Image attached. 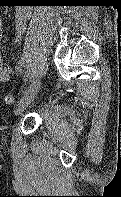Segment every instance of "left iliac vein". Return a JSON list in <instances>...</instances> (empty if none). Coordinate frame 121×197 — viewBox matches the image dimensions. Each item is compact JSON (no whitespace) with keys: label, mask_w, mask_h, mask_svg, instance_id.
I'll return each instance as SVG.
<instances>
[{"label":"left iliac vein","mask_w":121,"mask_h":197,"mask_svg":"<svg viewBox=\"0 0 121 197\" xmlns=\"http://www.w3.org/2000/svg\"><path fill=\"white\" fill-rule=\"evenodd\" d=\"M41 86V80L36 79L34 80L29 87L23 92L18 104L16 105V108L14 110L15 115H20L27 106L33 101V99L36 97L39 89Z\"/></svg>","instance_id":"obj_1"}]
</instances>
